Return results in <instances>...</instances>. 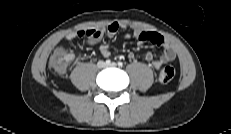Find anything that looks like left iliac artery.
Instances as JSON below:
<instances>
[{
	"label": "left iliac artery",
	"instance_id": "left-iliac-artery-1",
	"mask_svg": "<svg viewBox=\"0 0 231 134\" xmlns=\"http://www.w3.org/2000/svg\"><path fill=\"white\" fill-rule=\"evenodd\" d=\"M118 66H119V67H122V66H123V63H122V62H118Z\"/></svg>",
	"mask_w": 231,
	"mask_h": 134
}]
</instances>
